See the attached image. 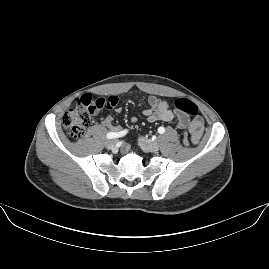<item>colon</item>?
Segmentation results:
<instances>
[{
    "instance_id": "colon-1",
    "label": "colon",
    "mask_w": 269,
    "mask_h": 269,
    "mask_svg": "<svg viewBox=\"0 0 269 269\" xmlns=\"http://www.w3.org/2000/svg\"><path fill=\"white\" fill-rule=\"evenodd\" d=\"M119 104L117 95H110L108 99L96 98L90 93L83 94L77 104L71 107L63 116L62 123L66 132L74 139L83 137L91 125V117L98 114L101 110H110L112 106ZM173 108L177 111L186 113L191 117L197 116L196 105L187 98H176ZM180 139L184 140V145H189L188 130L184 129L180 134Z\"/></svg>"
}]
</instances>
